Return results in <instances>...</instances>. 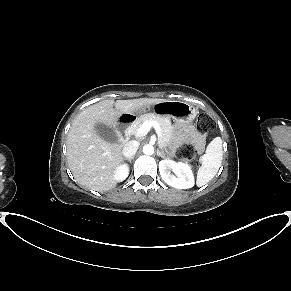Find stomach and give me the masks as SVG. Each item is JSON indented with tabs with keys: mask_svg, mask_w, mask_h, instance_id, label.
<instances>
[{
	"mask_svg": "<svg viewBox=\"0 0 291 291\" xmlns=\"http://www.w3.org/2000/svg\"><path fill=\"white\" fill-rule=\"evenodd\" d=\"M148 113H153L158 116H167L179 123H190L197 115V111L193 106L177 100H163L152 106L143 108L137 114Z\"/></svg>",
	"mask_w": 291,
	"mask_h": 291,
	"instance_id": "1",
	"label": "stomach"
}]
</instances>
